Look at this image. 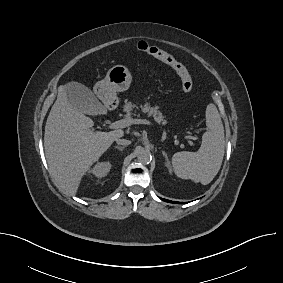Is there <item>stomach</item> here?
<instances>
[{
	"instance_id": "0dacf381",
	"label": "stomach",
	"mask_w": 283,
	"mask_h": 283,
	"mask_svg": "<svg viewBox=\"0 0 283 283\" xmlns=\"http://www.w3.org/2000/svg\"><path fill=\"white\" fill-rule=\"evenodd\" d=\"M132 75L123 65H115L106 74V77L98 81L94 86V93L106 105H111L117 100L116 93L129 88Z\"/></svg>"
}]
</instances>
